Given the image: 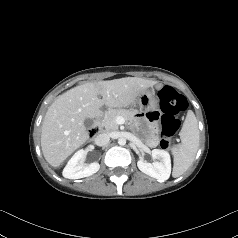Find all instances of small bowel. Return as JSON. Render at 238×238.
<instances>
[{"label": "small bowel", "instance_id": "c3829d8e", "mask_svg": "<svg viewBox=\"0 0 238 238\" xmlns=\"http://www.w3.org/2000/svg\"><path fill=\"white\" fill-rule=\"evenodd\" d=\"M146 120L154 125L161 123L163 116L161 111L156 107L149 108L145 113ZM152 126V130L147 138V144L150 147H155L157 145V129L155 126Z\"/></svg>", "mask_w": 238, "mask_h": 238}]
</instances>
